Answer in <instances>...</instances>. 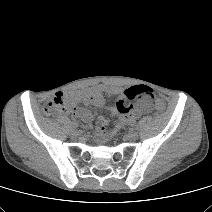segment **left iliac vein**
<instances>
[{
    "label": "left iliac vein",
    "instance_id": "4c4485c4",
    "mask_svg": "<svg viewBox=\"0 0 212 212\" xmlns=\"http://www.w3.org/2000/svg\"><path fill=\"white\" fill-rule=\"evenodd\" d=\"M126 138L129 140V141H135L137 140L138 138V133L134 130H130L127 135H126Z\"/></svg>",
    "mask_w": 212,
    "mask_h": 212
}]
</instances>
